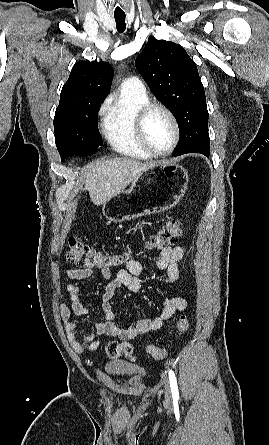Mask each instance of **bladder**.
<instances>
[{"mask_svg": "<svg viewBox=\"0 0 269 445\" xmlns=\"http://www.w3.org/2000/svg\"><path fill=\"white\" fill-rule=\"evenodd\" d=\"M106 374L113 377H133L144 379L147 377V372L143 369L130 366L122 361H109L104 365Z\"/></svg>", "mask_w": 269, "mask_h": 445, "instance_id": "bladder-1", "label": "bladder"}]
</instances>
